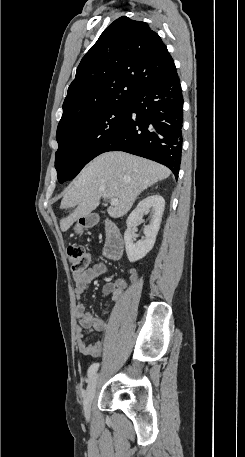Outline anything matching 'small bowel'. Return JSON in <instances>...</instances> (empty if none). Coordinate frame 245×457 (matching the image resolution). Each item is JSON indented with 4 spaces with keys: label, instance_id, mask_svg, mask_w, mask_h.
Returning <instances> with one entry per match:
<instances>
[{
    "label": "small bowel",
    "instance_id": "1",
    "mask_svg": "<svg viewBox=\"0 0 245 457\" xmlns=\"http://www.w3.org/2000/svg\"><path fill=\"white\" fill-rule=\"evenodd\" d=\"M108 271V266L104 263H98L85 271H74L73 279L76 284V293L80 296L87 286L96 278ZM137 271L130 270V279H137ZM127 287V282L124 279H117L103 286V294L112 296L114 301H118L123 291ZM76 316L78 324L75 329L76 344L79 352L86 356L98 357L104 351L120 350L124 347L126 335L117 328L107 327L103 320L92 313L85 310L84 305L79 302L76 306ZM105 328L104 337L96 341L94 344L86 343V336L93 332L101 331Z\"/></svg>",
    "mask_w": 245,
    "mask_h": 457
}]
</instances>
